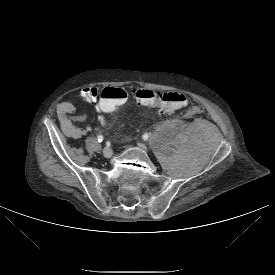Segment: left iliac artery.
Here are the masks:
<instances>
[{
	"label": "left iliac artery",
	"instance_id": "1",
	"mask_svg": "<svg viewBox=\"0 0 275 275\" xmlns=\"http://www.w3.org/2000/svg\"><path fill=\"white\" fill-rule=\"evenodd\" d=\"M142 137H143L144 140H147L149 138V135L147 133H145V134H143Z\"/></svg>",
	"mask_w": 275,
	"mask_h": 275
}]
</instances>
